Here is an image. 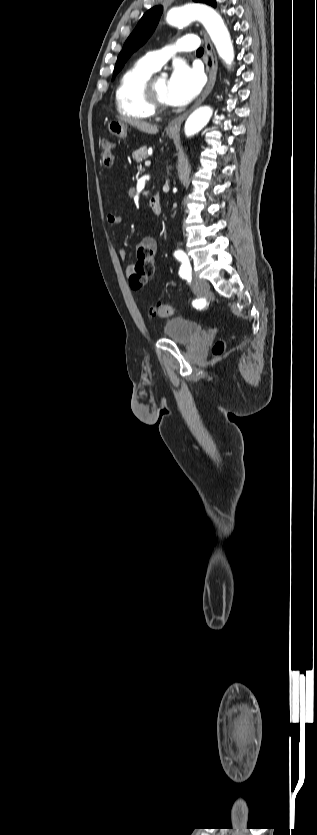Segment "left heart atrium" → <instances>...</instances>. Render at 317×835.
I'll return each mask as SVG.
<instances>
[{
	"mask_svg": "<svg viewBox=\"0 0 317 835\" xmlns=\"http://www.w3.org/2000/svg\"><path fill=\"white\" fill-rule=\"evenodd\" d=\"M203 80L198 69L185 63L175 65L167 85L168 103L175 106L191 102L200 92Z\"/></svg>",
	"mask_w": 317,
	"mask_h": 835,
	"instance_id": "left-heart-atrium-1",
	"label": "left heart atrium"
}]
</instances>
